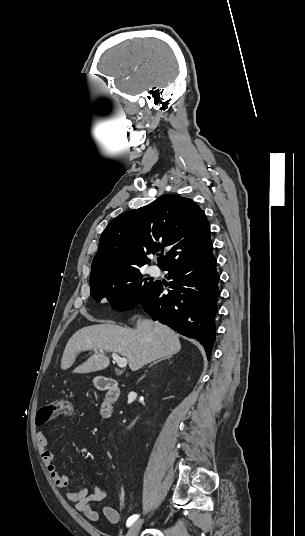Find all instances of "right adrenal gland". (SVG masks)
<instances>
[{
	"mask_svg": "<svg viewBox=\"0 0 305 536\" xmlns=\"http://www.w3.org/2000/svg\"><path fill=\"white\" fill-rule=\"evenodd\" d=\"M170 358H172V356H168V358H162V360H170ZM158 362H161V360H158ZM154 364H157V362H154Z\"/></svg>",
	"mask_w": 305,
	"mask_h": 536,
	"instance_id": "2a0ac1e0",
	"label": "right adrenal gland"
}]
</instances>
